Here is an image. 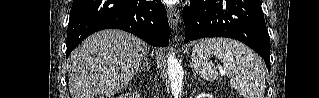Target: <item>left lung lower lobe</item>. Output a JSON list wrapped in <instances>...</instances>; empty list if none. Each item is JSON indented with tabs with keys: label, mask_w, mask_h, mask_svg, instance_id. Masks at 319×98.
<instances>
[{
	"label": "left lung lower lobe",
	"mask_w": 319,
	"mask_h": 98,
	"mask_svg": "<svg viewBox=\"0 0 319 98\" xmlns=\"http://www.w3.org/2000/svg\"><path fill=\"white\" fill-rule=\"evenodd\" d=\"M183 21L185 42L204 37L239 40L257 52L270 71V40L260 0H191Z\"/></svg>",
	"instance_id": "0a47b994"
}]
</instances>
